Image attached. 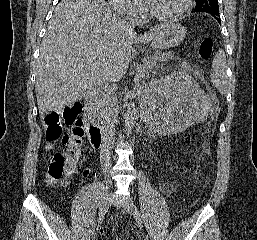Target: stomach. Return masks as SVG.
<instances>
[{
    "instance_id": "1",
    "label": "stomach",
    "mask_w": 257,
    "mask_h": 240,
    "mask_svg": "<svg viewBox=\"0 0 257 240\" xmlns=\"http://www.w3.org/2000/svg\"><path fill=\"white\" fill-rule=\"evenodd\" d=\"M186 29L177 23H165L152 39V46L167 49L179 45L185 38Z\"/></svg>"
}]
</instances>
